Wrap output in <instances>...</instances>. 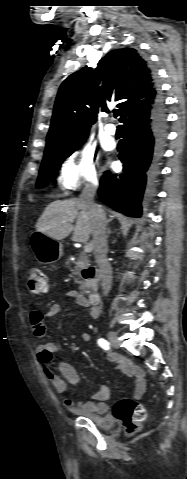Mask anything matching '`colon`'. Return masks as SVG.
<instances>
[{
	"label": "colon",
	"instance_id": "5ec220e1",
	"mask_svg": "<svg viewBox=\"0 0 187 479\" xmlns=\"http://www.w3.org/2000/svg\"><path fill=\"white\" fill-rule=\"evenodd\" d=\"M26 288L28 292L33 295L46 292L48 281L45 273L37 267L29 268ZM113 415L117 420L123 423L128 434H133L145 420L146 410L141 403L131 398H122L115 403Z\"/></svg>",
	"mask_w": 187,
	"mask_h": 479
}]
</instances>
